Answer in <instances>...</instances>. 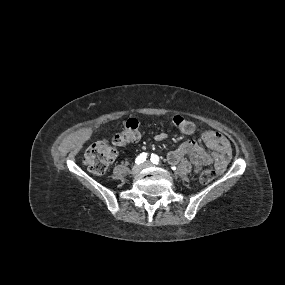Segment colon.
<instances>
[{"instance_id": "colon-1", "label": "colon", "mask_w": 285, "mask_h": 285, "mask_svg": "<svg viewBox=\"0 0 285 285\" xmlns=\"http://www.w3.org/2000/svg\"><path fill=\"white\" fill-rule=\"evenodd\" d=\"M174 125L184 134L192 135L196 130L193 121L183 117L175 116ZM140 138L139 123L136 119H128L122 129L113 137L112 143L119 147L127 146L129 143L137 141ZM116 156L114 147L105 140L93 143L84 155V163L90 172L96 175L104 174L113 163ZM217 176V172L212 168L205 169L200 175V181L203 184L210 183Z\"/></svg>"}]
</instances>
